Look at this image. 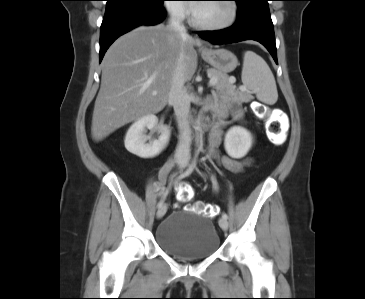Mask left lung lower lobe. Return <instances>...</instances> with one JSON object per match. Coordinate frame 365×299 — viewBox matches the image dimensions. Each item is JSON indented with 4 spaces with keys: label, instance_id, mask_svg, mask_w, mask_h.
Returning <instances> with one entry per match:
<instances>
[{
    "label": "left lung lower lobe",
    "instance_id": "0a47b994",
    "mask_svg": "<svg viewBox=\"0 0 365 299\" xmlns=\"http://www.w3.org/2000/svg\"><path fill=\"white\" fill-rule=\"evenodd\" d=\"M199 36L216 44L255 40L264 45L277 63L273 23L268 0H249L238 4L237 22L227 29L201 31Z\"/></svg>",
    "mask_w": 365,
    "mask_h": 299
}]
</instances>
